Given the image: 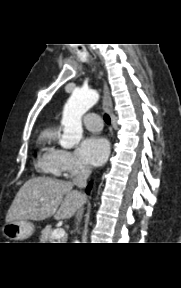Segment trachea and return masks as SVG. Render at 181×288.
<instances>
[{
	"label": "trachea",
	"instance_id": "3493384b",
	"mask_svg": "<svg viewBox=\"0 0 181 288\" xmlns=\"http://www.w3.org/2000/svg\"><path fill=\"white\" fill-rule=\"evenodd\" d=\"M104 121L107 123V124H110L111 123V120H110V117L108 114H104Z\"/></svg>",
	"mask_w": 181,
	"mask_h": 288
}]
</instances>
